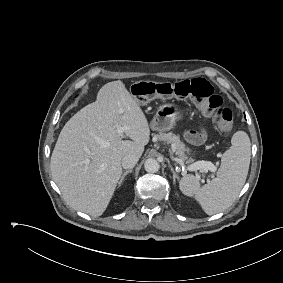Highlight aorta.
<instances>
[{
	"instance_id": "aorta-1",
	"label": "aorta",
	"mask_w": 283,
	"mask_h": 283,
	"mask_svg": "<svg viewBox=\"0 0 283 283\" xmlns=\"http://www.w3.org/2000/svg\"><path fill=\"white\" fill-rule=\"evenodd\" d=\"M144 168L149 173H155L159 170L160 165L157 160L149 158L145 161Z\"/></svg>"
}]
</instances>
